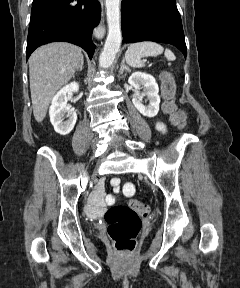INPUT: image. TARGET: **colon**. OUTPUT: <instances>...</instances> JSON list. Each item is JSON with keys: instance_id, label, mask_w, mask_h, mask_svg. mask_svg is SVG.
Segmentation results:
<instances>
[{"instance_id": "1", "label": "colon", "mask_w": 240, "mask_h": 288, "mask_svg": "<svg viewBox=\"0 0 240 288\" xmlns=\"http://www.w3.org/2000/svg\"><path fill=\"white\" fill-rule=\"evenodd\" d=\"M174 94V83L169 76L165 75L163 77V95L166 99L164 110L171 115L175 124L183 125L185 115L174 103ZM149 213V206L138 200H132L128 205L114 206L105 213L107 233L116 250L128 254L135 249L142 226L141 217Z\"/></svg>"}]
</instances>
